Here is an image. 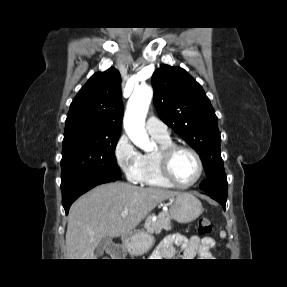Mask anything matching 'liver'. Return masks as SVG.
Here are the masks:
<instances>
[{"mask_svg":"<svg viewBox=\"0 0 287 287\" xmlns=\"http://www.w3.org/2000/svg\"><path fill=\"white\" fill-rule=\"evenodd\" d=\"M179 192L141 188L115 182L99 185L70 208L66 232V259H97L95 249L105 236L132 232L160 202ZM128 209V215L121 216Z\"/></svg>","mask_w":287,"mask_h":287,"instance_id":"liver-1","label":"liver"}]
</instances>
